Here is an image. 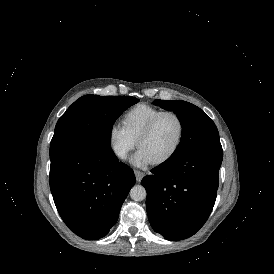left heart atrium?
<instances>
[{"instance_id": "left-heart-atrium-1", "label": "left heart atrium", "mask_w": 274, "mask_h": 274, "mask_svg": "<svg viewBox=\"0 0 274 274\" xmlns=\"http://www.w3.org/2000/svg\"><path fill=\"white\" fill-rule=\"evenodd\" d=\"M130 161L135 166L148 165L151 163L145 152L141 149H137Z\"/></svg>"}]
</instances>
